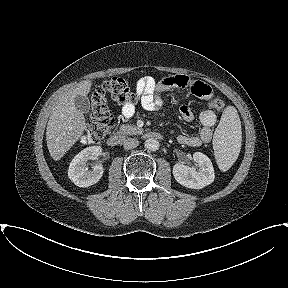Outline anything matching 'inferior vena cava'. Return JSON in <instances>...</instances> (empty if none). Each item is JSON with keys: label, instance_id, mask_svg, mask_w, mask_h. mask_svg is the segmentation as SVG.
<instances>
[{"label": "inferior vena cava", "instance_id": "inferior-vena-cava-1", "mask_svg": "<svg viewBox=\"0 0 288 288\" xmlns=\"http://www.w3.org/2000/svg\"><path fill=\"white\" fill-rule=\"evenodd\" d=\"M139 145V141L135 138H128L123 142L125 150L136 148Z\"/></svg>", "mask_w": 288, "mask_h": 288}]
</instances>
